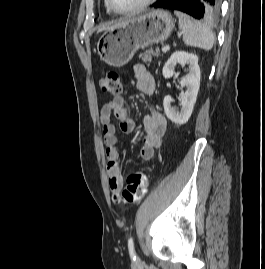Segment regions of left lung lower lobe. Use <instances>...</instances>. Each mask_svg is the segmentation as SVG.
Wrapping results in <instances>:
<instances>
[{
	"mask_svg": "<svg viewBox=\"0 0 265 269\" xmlns=\"http://www.w3.org/2000/svg\"><path fill=\"white\" fill-rule=\"evenodd\" d=\"M155 8L174 9L196 19L214 20L220 11V0H161Z\"/></svg>",
	"mask_w": 265,
	"mask_h": 269,
	"instance_id": "1",
	"label": "left lung lower lobe"
}]
</instances>
